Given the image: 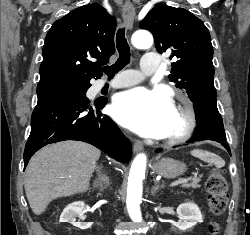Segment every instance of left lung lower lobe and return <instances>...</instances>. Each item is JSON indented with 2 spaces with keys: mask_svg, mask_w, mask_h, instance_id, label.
Wrapping results in <instances>:
<instances>
[{
  "mask_svg": "<svg viewBox=\"0 0 250 235\" xmlns=\"http://www.w3.org/2000/svg\"><path fill=\"white\" fill-rule=\"evenodd\" d=\"M194 105L199 125L195 129L196 137L193 141L212 140L224 143L225 131L222 117L217 109L216 96L199 99L194 102ZM223 146L231 155L228 145L224 143Z\"/></svg>",
  "mask_w": 250,
  "mask_h": 235,
  "instance_id": "1",
  "label": "left lung lower lobe"
}]
</instances>
